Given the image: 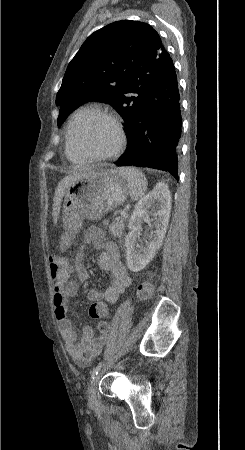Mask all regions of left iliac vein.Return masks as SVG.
Returning <instances> with one entry per match:
<instances>
[{
  "mask_svg": "<svg viewBox=\"0 0 245 450\" xmlns=\"http://www.w3.org/2000/svg\"><path fill=\"white\" fill-rule=\"evenodd\" d=\"M100 378V375H96L95 378L92 380L90 387H89V400L90 403L96 402V386L98 383V380Z\"/></svg>",
  "mask_w": 245,
  "mask_h": 450,
  "instance_id": "left-iliac-vein-1",
  "label": "left iliac vein"
}]
</instances>
